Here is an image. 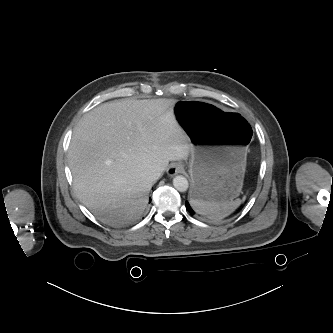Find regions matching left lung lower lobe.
I'll return each mask as SVG.
<instances>
[{
	"mask_svg": "<svg viewBox=\"0 0 333 333\" xmlns=\"http://www.w3.org/2000/svg\"><path fill=\"white\" fill-rule=\"evenodd\" d=\"M186 208L188 210V212L191 214V215H194V211L192 210V208L190 207L189 203L186 201Z\"/></svg>",
	"mask_w": 333,
	"mask_h": 333,
	"instance_id": "0a47b994",
	"label": "left lung lower lobe"
}]
</instances>
